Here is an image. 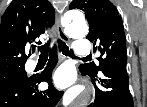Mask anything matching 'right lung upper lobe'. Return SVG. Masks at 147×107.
Segmentation results:
<instances>
[{"mask_svg": "<svg viewBox=\"0 0 147 107\" xmlns=\"http://www.w3.org/2000/svg\"><path fill=\"white\" fill-rule=\"evenodd\" d=\"M54 19L48 0H13L0 25V69L25 65V47L52 26Z\"/></svg>", "mask_w": 147, "mask_h": 107, "instance_id": "cb5924a9", "label": "right lung upper lobe"}]
</instances>
